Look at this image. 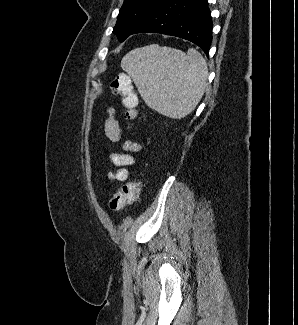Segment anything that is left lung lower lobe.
Segmentation results:
<instances>
[{"instance_id":"left-lung-lower-lobe-1","label":"left lung lower lobe","mask_w":298,"mask_h":325,"mask_svg":"<svg viewBox=\"0 0 298 325\" xmlns=\"http://www.w3.org/2000/svg\"><path fill=\"white\" fill-rule=\"evenodd\" d=\"M212 20L207 0H163L132 34L160 33L189 40L209 57Z\"/></svg>"}]
</instances>
